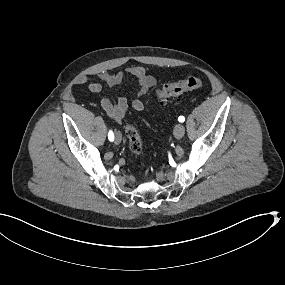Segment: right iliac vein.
I'll use <instances>...</instances> for the list:
<instances>
[{"mask_svg": "<svg viewBox=\"0 0 285 285\" xmlns=\"http://www.w3.org/2000/svg\"><path fill=\"white\" fill-rule=\"evenodd\" d=\"M122 140V137L119 133H116V136H115V143L116 144H119Z\"/></svg>", "mask_w": 285, "mask_h": 285, "instance_id": "63e3f726", "label": "right iliac vein"}]
</instances>
